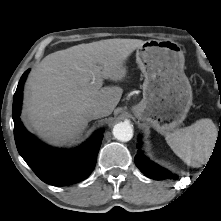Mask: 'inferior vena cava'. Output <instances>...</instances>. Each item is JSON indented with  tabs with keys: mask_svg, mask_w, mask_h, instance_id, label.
Here are the masks:
<instances>
[{
	"mask_svg": "<svg viewBox=\"0 0 221 221\" xmlns=\"http://www.w3.org/2000/svg\"><path fill=\"white\" fill-rule=\"evenodd\" d=\"M102 108L100 107H90L86 110V116L92 120L97 119L102 115Z\"/></svg>",
	"mask_w": 221,
	"mask_h": 221,
	"instance_id": "obj_1",
	"label": "inferior vena cava"
}]
</instances>
